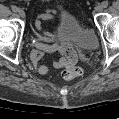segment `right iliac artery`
I'll return each instance as SVG.
<instances>
[{
    "instance_id": "82829eb1",
    "label": "right iliac artery",
    "mask_w": 119,
    "mask_h": 119,
    "mask_svg": "<svg viewBox=\"0 0 119 119\" xmlns=\"http://www.w3.org/2000/svg\"><path fill=\"white\" fill-rule=\"evenodd\" d=\"M18 10H19V9H18L16 6H12V11H13V12H18Z\"/></svg>"
}]
</instances>
